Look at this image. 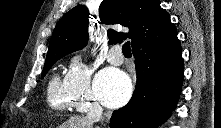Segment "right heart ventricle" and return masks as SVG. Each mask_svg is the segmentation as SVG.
<instances>
[{
	"label": "right heart ventricle",
	"mask_w": 221,
	"mask_h": 128,
	"mask_svg": "<svg viewBox=\"0 0 221 128\" xmlns=\"http://www.w3.org/2000/svg\"><path fill=\"white\" fill-rule=\"evenodd\" d=\"M48 104L59 112H68L73 108V98L65 79L61 80L58 74H54L49 82Z\"/></svg>",
	"instance_id": "obj_1"
}]
</instances>
